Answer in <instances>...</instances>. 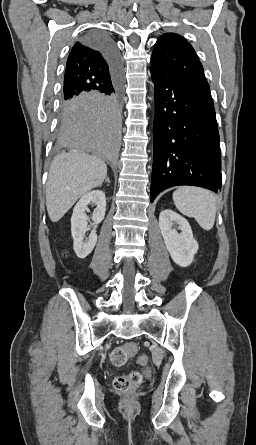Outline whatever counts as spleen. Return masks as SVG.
Returning a JSON list of instances; mask_svg holds the SVG:
<instances>
[{
	"label": "spleen",
	"mask_w": 256,
	"mask_h": 445,
	"mask_svg": "<svg viewBox=\"0 0 256 445\" xmlns=\"http://www.w3.org/2000/svg\"><path fill=\"white\" fill-rule=\"evenodd\" d=\"M177 209L196 219L204 230H211L215 223L216 198L208 190L197 187H180L173 193Z\"/></svg>",
	"instance_id": "obj_1"
}]
</instances>
